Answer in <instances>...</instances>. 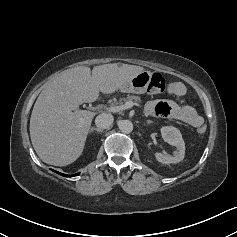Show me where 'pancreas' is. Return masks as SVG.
<instances>
[{
	"mask_svg": "<svg viewBox=\"0 0 237 237\" xmlns=\"http://www.w3.org/2000/svg\"><path fill=\"white\" fill-rule=\"evenodd\" d=\"M140 100H141L140 97L134 96V95H128V96L126 97V99H123L124 102H127V101L139 102ZM120 103L122 104L123 102H121V100H120Z\"/></svg>",
	"mask_w": 237,
	"mask_h": 237,
	"instance_id": "1",
	"label": "pancreas"
}]
</instances>
